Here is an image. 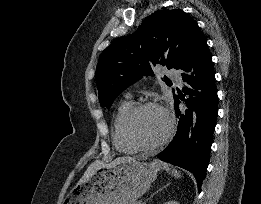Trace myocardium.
I'll use <instances>...</instances> for the list:
<instances>
[{
  "label": "myocardium",
  "mask_w": 261,
  "mask_h": 204,
  "mask_svg": "<svg viewBox=\"0 0 261 204\" xmlns=\"http://www.w3.org/2000/svg\"><path fill=\"white\" fill-rule=\"evenodd\" d=\"M157 108L161 110L167 119V130L163 137L155 143L145 144L139 141L132 131L135 118L145 109ZM174 117L170 109L157 101H145L135 105L127 114L123 122V133L127 141L138 150H154L166 144L174 132Z\"/></svg>",
  "instance_id": "1"
}]
</instances>
